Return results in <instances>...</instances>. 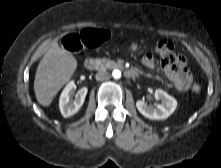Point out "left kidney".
Segmentation results:
<instances>
[{
  "instance_id": "obj_1",
  "label": "left kidney",
  "mask_w": 221,
  "mask_h": 168,
  "mask_svg": "<svg viewBox=\"0 0 221 168\" xmlns=\"http://www.w3.org/2000/svg\"><path fill=\"white\" fill-rule=\"evenodd\" d=\"M154 96L157 100L161 101V104H157L153 107L147 105V103L143 100H138L136 102L138 111L144 117L151 120H163L168 118L175 111L177 101L162 89H156Z\"/></svg>"
}]
</instances>
